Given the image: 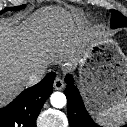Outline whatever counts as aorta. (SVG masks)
<instances>
[{
  "label": "aorta",
  "instance_id": "1",
  "mask_svg": "<svg viewBox=\"0 0 127 127\" xmlns=\"http://www.w3.org/2000/svg\"><path fill=\"white\" fill-rule=\"evenodd\" d=\"M50 102L55 108H63L67 103V99L62 92H54L50 96Z\"/></svg>",
  "mask_w": 127,
  "mask_h": 127
}]
</instances>
